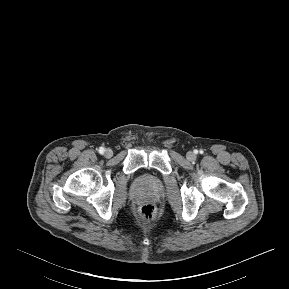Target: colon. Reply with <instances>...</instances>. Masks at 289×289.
I'll list each match as a JSON object with an SVG mask.
<instances>
[{"mask_svg":"<svg viewBox=\"0 0 289 289\" xmlns=\"http://www.w3.org/2000/svg\"><path fill=\"white\" fill-rule=\"evenodd\" d=\"M155 209L150 204H145L140 208L139 214L143 220L150 221L155 217Z\"/></svg>","mask_w":289,"mask_h":289,"instance_id":"1","label":"colon"}]
</instances>
